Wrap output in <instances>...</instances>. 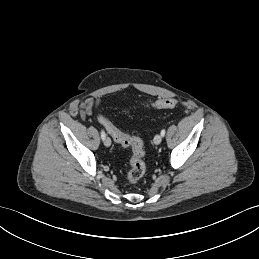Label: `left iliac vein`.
<instances>
[{
  "mask_svg": "<svg viewBox=\"0 0 259 259\" xmlns=\"http://www.w3.org/2000/svg\"><path fill=\"white\" fill-rule=\"evenodd\" d=\"M162 141V135L161 134H157L155 137H154V144L156 145H159Z\"/></svg>",
  "mask_w": 259,
  "mask_h": 259,
  "instance_id": "1",
  "label": "left iliac vein"
}]
</instances>
